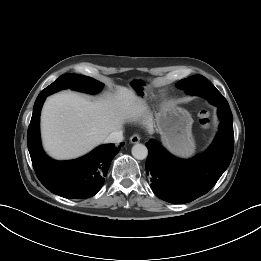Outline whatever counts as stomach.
Returning a JSON list of instances; mask_svg holds the SVG:
<instances>
[{"instance_id":"1","label":"stomach","mask_w":261,"mask_h":261,"mask_svg":"<svg viewBox=\"0 0 261 261\" xmlns=\"http://www.w3.org/2000/svg\"><path fill=\"white\" fill-rule=\"evenodd\" d=\"M131 88L139 98L146 97L149 92L153 94L150 80L135 79L131 82ZM155 120L162 142L168 150L183 157L194 153L195 144L191 133L193 119L187 110L173 102H164Z\"/></svg>"}]
</instances>
